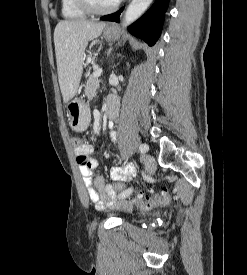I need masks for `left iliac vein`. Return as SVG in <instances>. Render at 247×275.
I'll return each instance as SVG.
<instances>
[{"instance_id": "4c4485c4", "label": "left iliac vein", "mask_w": 247, "mask_h": 275, "mask_svg": "<svg viewBox=\"0 0 247 275\" xmlns=\"http://www.w3.org/2000/svg\"><path fill=\"white\" fill-rule=\"evenodd\" d=\"M141 160H142V162L144 163L146 169L149 172H153L155 170V168H156V162H155L154 157H152L150 155H142L141 156ZM131 191L132 190L127 191L126 197L131 194Z\"/></svg>"}]
</instances>
